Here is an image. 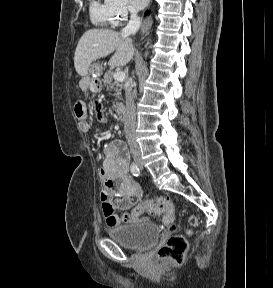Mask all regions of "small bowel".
Here are the masks:
<instances>
[{"instance_id": "obj_1", "label": "small bowel", "mask_w": 273, "mask_h": 288, "mask_svg": "<svg viewBox=\"0 0 273 288\" xmlns=\"http://www.w3.org/2000/svg\"><path fill=\"white\" fill-rule=\"evenodd\" d=\"M76 114L80 119L81 131L90 132L91 125L85 109L82 107V116L78 111ZM94 116L99 122L104 121L103 110L100 113L94 110ZM100 177L104 183L100 200L107 224L116 227L141 221L146 212L142 202L137 205L142 198V187L129 174V154L123 142L111 140L104 145Z\"/></svg>"}]
</instances>
